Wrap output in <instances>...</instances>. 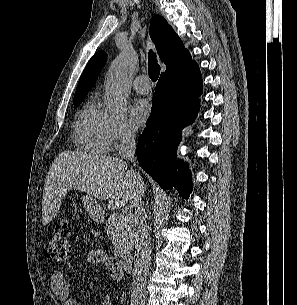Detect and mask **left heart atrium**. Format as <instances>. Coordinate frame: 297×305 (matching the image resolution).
I'll return each mask as SVG.
<instances>
[{
	"mask_svg": "<svg viewBox=\"0 0 297 305\" xmlns=\"http://www.w3.org/2000/svg\"><path fill=\"white\" fill-rule=\"evenodd\" d=\"M151 104L146 99H138L132 109V119L137 126L144 125L151 115Z\"/></svg>",
	"mask_w": 297,
	"mask_h": 305,
	"instance_id": "1",
	"label": "left heart atrium"
}]
</instances>
